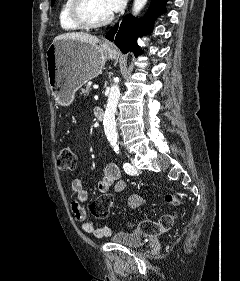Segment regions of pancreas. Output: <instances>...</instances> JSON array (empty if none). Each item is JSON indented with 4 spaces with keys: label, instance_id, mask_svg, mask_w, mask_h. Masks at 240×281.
<instances>
[{
    "label": "pancreas",
    "instance_id": "pancreas-1",
    "mask_svg": "<svg viewBox=\"0 0 240 281\" xmlns=\"http://www.w3.org/2000/svg\"><path fill=\"white\" fill-rule=\"evenodd\" d=\"M90 93V86L87 85L84 89H82V95L86 96V95H89Z\"/></svg>",
    "mask_w": 240,
    "mask_h": 281
}]
</instances>
